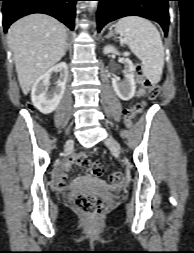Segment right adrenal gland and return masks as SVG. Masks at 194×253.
Instances as JSON below:
<instances>
[{
  "label": "right adrenal gland",
  "instance_id": "2a0ac1e0",
  "mask_svg": "<svg viewBox=\"0 0 194 253\" xmlns=\"http://www.w3.org/2000/svg\"><path fill=\"white\" fill-rule=\"evenodd\" d=\"M69 48H70V43H69V41H67L64 55L66 54V51H67Z\"/></svg>",
  "mask_w": 194,
  "mask_h": 253
}]
</instances>
